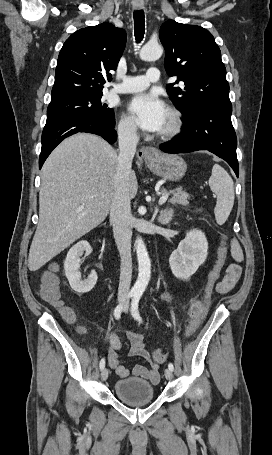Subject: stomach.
Instances as JSON below:
<instances>
[{
  "label": "stomach",
  "mask_w": 272,
  "mask_h": 455,
  "mask_svg": "<svg viewBox=\"0 0 272 455\" xmlns=\"http://www.w3.org/2000/svg\"><path fill=\"white\" fill-rule=\"evenodd\" d=\"M146 164L154 174L171 181L180 180L187 170L184 159L174 154H157L153 159L146 160Z\"/></svg>",
  "instance_id": "obj_1"
}]
</instances>
